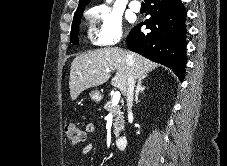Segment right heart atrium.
<instances>
[{"label": "right heart atrium", "instance_id": "right-heart-atrium-1", "mask_svg": "<svg viewBox=\"0 0 227 166\" xmlns=\"http://www.w3.org/2000/svg\"><path fill=\"white\" fill-rule=\"evenodd\" d=\"M94 24L95 42L101 46H113L122 39V21L120 16L105 5H96L89 10Z\"/></svg>", "mask_w": 227, "mask_h": 166}]
</instances>
